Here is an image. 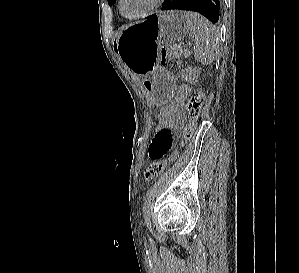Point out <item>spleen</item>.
Wrapping results in <instances>:
<instances>
[{
    "label": "spleen",
    "mask_w": 299,
    "mask_h": 273,
    "mask_svg": "<svg viewBox=\"0 0 299 273\" xmlns=\"http://www.w3.org/2000/svg\"><path fill=\"white\" fill-rule=\"evenodd\" d=\"M184 16L194 38L193 54L196 61L210 65L219 49V34L216 27L198 13L184 12Z\"/></svg>",
    "instance_id": "3e777b00"
}]
</instances>
